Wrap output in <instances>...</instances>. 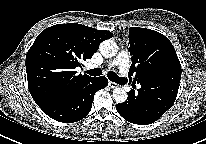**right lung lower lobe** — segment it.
<instances>
[{"label": "right lung lower lobe", "mask_w": 206, "mask_h": 144, "mask_svg": "<svg viewBox=\"0 0 206 144\" xmlns=\"http://www.w3.org/2000/svg\"><path fill=\"white\" fill-rule=\"evenodd\" d=\"M107 85L108 79L104 76L92 78L78 89L50 99L39 107L56 121L76 122L90 112L95 93Z\"/></svg>", "instance_id": "obj_1"}]
</instances>
